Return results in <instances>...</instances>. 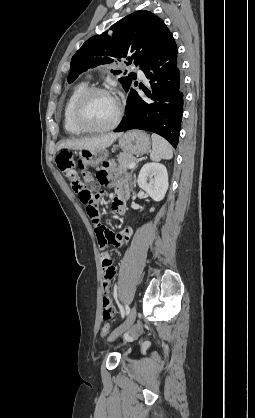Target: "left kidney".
Instances as JSON below:
<instances>
[{"label":"left kidney","instance_id":"5707ae66","mask_svg":"<svg viewBox=\"0 0 255 418\" xmlns=\"http://www.w3.org/2000/svg\"><path fill=\"white\" fill-rule=\"evenodd\" d=\"M137 182L154 201H161L168 189L167 169L160 163H146L139 172ZM150 211H154V208Z\"/></svg>","mask_w":255,"mask_h":418}]
</instances>
